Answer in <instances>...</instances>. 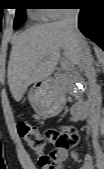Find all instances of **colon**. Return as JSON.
Returning a JSON list of instances; mask_svg holds the SVG:
<instances>
[{"mask_svg":"<svg viewBox=\"0 0 104 169\" xmlns=\"http://www.w3.org/2000/svg\"><path fill=\"white\" fill-rule=\"evenodd\" d=\"M18 133L27 147L37 155V162L42 167L52 165V157L45 153L51 144L61 147H71L77 144L78 134L72 128H49L40 131L35 125L27 121L18 124Z\"/></svg>","mask_w":104,"mask_h":169,"instance_id":"5ec220e1","label":"colon"}]
</instances>
